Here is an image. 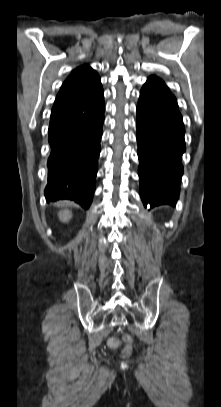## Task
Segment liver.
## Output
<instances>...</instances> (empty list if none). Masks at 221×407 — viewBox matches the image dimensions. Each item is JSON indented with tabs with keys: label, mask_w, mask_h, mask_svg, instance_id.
Listing matches in <instances>:
<instances>
[{
	"label": "liver",
	"mask_w": 221,
	"mask_h": 407,
	"mask_svg": "<svg viewBox=\"0 0 221 407\" xmlns=\"http://www.w3.org/2000/svg\"><path fill=\"white\" fill-rule=\"evenodd\" d=\"M58 216L60 221L67 223L72 217V212L68 209H64L58 213Z\"/></svg>",
	"instance_id": "6515ba94"
}]
</instances>
